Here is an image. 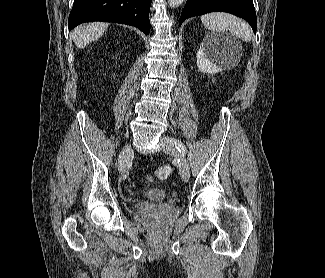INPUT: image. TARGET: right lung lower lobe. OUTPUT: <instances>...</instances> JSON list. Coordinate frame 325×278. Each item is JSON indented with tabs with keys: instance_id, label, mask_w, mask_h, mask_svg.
<instances>
[{
	"instance_id": "98d812e1",
	"label": "right lung lower lobe",
	"mask_w": 325,
	"mask_h": 278,
	"mask_svg": "<svg viewBox=\"0 0 325 278\" xmlns=\"http://www.w3.org/2000/svg\"><path fill=\"white\" fill-rule=\"evenodd\" d=\"M151 0H74L68 19L69 29L91 21L132 25L145 35L150 32Z\"/></svg>"
}]
</instances>
